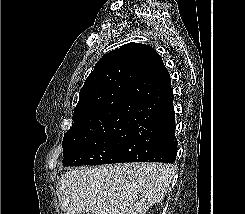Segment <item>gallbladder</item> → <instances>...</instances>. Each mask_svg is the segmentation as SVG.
Returning <instances> with one entry per match:
<instances>
[{
	"instance_id": "bac80fb5",
	"label": "gallbladder",
	"mask_w": 245,
	"mask_h": 214,
	"mask_svg": "<svg viewBox=\"0 0 245 214\" xmlns=\"http://www.w3.org/2000/svg\"><path fill=\"white\" fill-rule=\"evenodd\" d=\"M83 214H94L93 212H85Z\"/></svg>"
}]
</instances>
